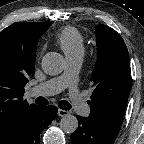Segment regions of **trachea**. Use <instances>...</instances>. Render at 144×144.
I'll use <instances>...</instances> for the list:
<instances>
[{"mask_svg":"<svg viewBox=\"0 0 144 144\" xmlns=\"http://www.w3.org/2000/svg\"><path fill=\"white\" fill-rule=\"evenodd\" d=\"M36 104L39 105H47L48 104V100L45 99L44 97H38L35 100ZM58 106L62 109V110H70L71 109V105L68 101L62 100L59 102Z\"/></svg>","mask_w":144,"mask_h":144,"instance_id":"1","label":"trachea"}]
</instances>
